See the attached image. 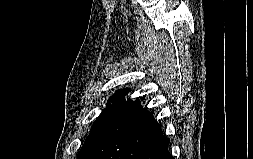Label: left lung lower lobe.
<instances>
[{
  "label": "left lung lower lobe",
  "instance_id": "left-lung-lower-lobe-1",
  "mask_svg": "<svg viewBox=\"0 0 253 159\" xmlns=\"http://www.w3.org/2000/svg\"><path fill=\"white\" fill-rule=\"evenodd\" d=\"M169 142L153 115L136 100L106 125L84 159H174Z\"/></svg>",
  "mask_w": 253,
  "mask_h": 159
}]
</instances>
